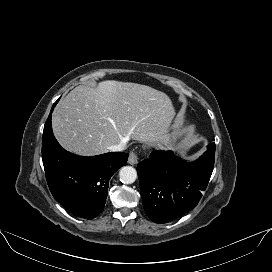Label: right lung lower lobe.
Here are the masks:
<instances>
[{
    "mask_svg": "<svg viewBox=\"0 0 272 272\" xmlns=\"http://www.w3.org/2000/svg\"><path fill=\"white\" fill-rule=\"evenodd\" d=\"M53 107L45 123L42 140V160L49 189L73 215L93 219L103 211L109 180L126 165L128 153L82 157L66 151L52 132Z\"/></svg>",
    "mask_w": 272,
    "mask_h": 272,
    "instance_id": "1",
    "label": "right lung lower lobe"
}]
</instances>
